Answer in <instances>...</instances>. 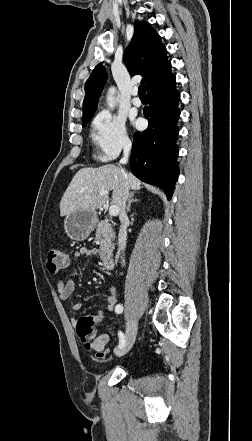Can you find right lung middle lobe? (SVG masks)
Returning <instances> with one entry per match:
<instances>
[{
	"instance_id": "1",
	"label": "right lung middle lobe",
	"mask_w": 252,
	"mask_h": 441,
	"mask_svg": "<svg viewBox=\"0 0 252 441\" xmlns=\"http://www.w3.org/2000/svg\"><path fill=\"white\" fill-rule=\"evenodd\" d=\"M88 121H85L82 123V126L84 127L87 124Z\"/></svg>"
}]
</instances>
